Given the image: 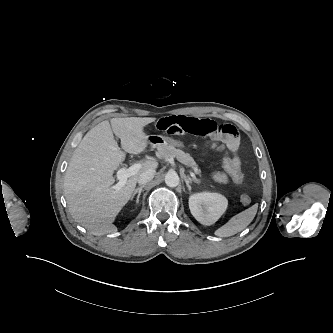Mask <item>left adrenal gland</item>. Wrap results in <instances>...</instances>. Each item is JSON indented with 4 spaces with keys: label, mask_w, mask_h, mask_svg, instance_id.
<instances>
[{
    "label": "left adrenal gland",
    "mask_w": 333,
    "mask_h": 333,
    "mask_svg": "<svg viewBox=\"0 0 333 333\" xmlns=\"http://www.w3.org/2000/svg\"><path fill=\"white\" fill-rule=\"evenodd\" d=\"M184 180L186 182V186L188 187L189 191H191L192 182L199 183V180L192 179L189 176H184Z\"/></svg>",
    "instance_id": "obj_1"
}]
</instances>
